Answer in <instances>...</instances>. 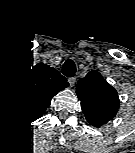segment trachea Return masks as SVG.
<instances>
[{"instance_id":"trachea-1","label":"trachea","mask_w":135,"mask_h":153,"mask_svg":"<svg viewBox=\"0 0 135 153\" xmlns=\"http://www.w3.org/2000/svg\"><path fill=\"white\" fill-rule=\"evenodd\" d=\"M76 72V66L73 60H67L63 64V74L67 77H73Z\"/></svg>"}]
</instances>
